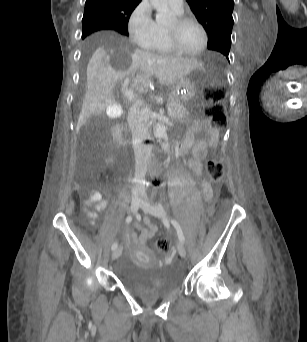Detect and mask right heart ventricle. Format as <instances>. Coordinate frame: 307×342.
Instances as JSON below:
<instances>
[{
  "label": "right heart ventricle",
  "instance_id": "e07e8e85",
  "mask_svg": "<svg viewBox=\"0 0 307 342\" xmlns=\"http://www.w3.org/2000/svg\"><path fill=\"white\" fill-rule=\"evenodd\" d=\"M144 47L147 50L158 52V53H163V54L171 53L168 50V48L166 47V45L164 44V38L163 37H160V38L150 42L149 44L145 45Z\"/></svg>",
  "mask_w": 307,
  "mask_h": 342
}]
</instances>
